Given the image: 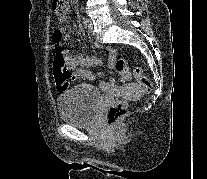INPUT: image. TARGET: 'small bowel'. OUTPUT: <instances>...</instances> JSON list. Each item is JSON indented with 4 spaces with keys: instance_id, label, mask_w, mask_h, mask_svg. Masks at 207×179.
Instances as JSON below:
<instances>
[{
    "instance_id": "small-bowel-1",
    "label": "small bowel",
    "mask_w": 207,
    "mask_h": 179,
    "mask_svg": "<svg viewBox=\"0 0 207 179\" xmlns=\"http://www.w3.org/2000/svg\"><path fill=\"white\" fill-rule=\"evenodd\" d=\"M69 12H70V7L68 5L67 12L63 16L59 17V21L61 23H64L67 21ZM56 30H60L62 35L65 34L64 28H60V29H56ZM96 47L102 48L108 52V54H109L108 68L111 71L116 69L115 64L117 62L118 51L113 48H103V47H101V45L99 43H96ZM63 54L66 58L68 68L72 72L73 78L84 79V80H95L97 78L98 79L103 78V76H104L103 72L99 71L97 73H93L90 70V68H92V67H98L101 65L100 59H98L96 56L82 55V54H77V55L73 56L70 54L69 51H64ZM128 80L129 79H124L121 76V82L125 83ZM98 86H99V89H101L103 91H108L116 86V81L113 78H111L107 81H100ZM58 87L60 88L59 85H58Z\"/></svg>"
}]
</instances>
